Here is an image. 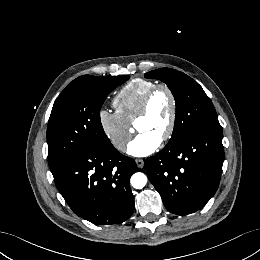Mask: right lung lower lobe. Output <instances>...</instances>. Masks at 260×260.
<instances>
[{
  "mask_svg": "<svg viewBox=\"0 0 260 260\" xmlns=\"http://www.w3.org/2000/svg\"><path fill=\"white\" fill-rule=\"evenodd\" d=\"M136 170L135 161L113 147L74 153L51 172L75 214L94 224L111 225L124 222L134 211L129 180Z\"/></svg>",
  "mask_w": 260,
  "mask_h": 260,
  "instance_id": "98d812e1",
  "label": "right lung lower lobe"
}]
</instances>
